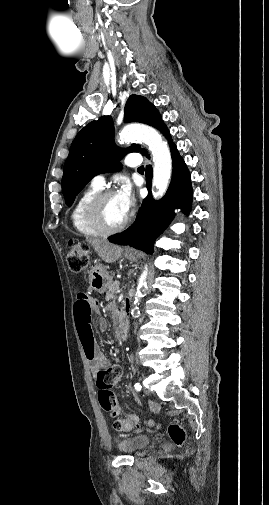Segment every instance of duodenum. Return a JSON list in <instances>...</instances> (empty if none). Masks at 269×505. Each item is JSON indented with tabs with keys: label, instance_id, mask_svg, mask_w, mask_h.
<instances>
[{
	"label": "duodenum",
	"instance_id": "duodenum-1",
	"mask_svg": "<svg viewBox=\"0 0 269 505\" xmlns=\"http://www.w3.org/2000/svg\"><path fill=\"white\" fill-rule=\"evenodd\" d=\"M128 321L125 319V318H121L119 320V323H118V329H117V333H118V339L120 341H125L128 337Z\"/></svg>",
	"mask_w": 269,
	"mask_h": 505
}]
</instances>
